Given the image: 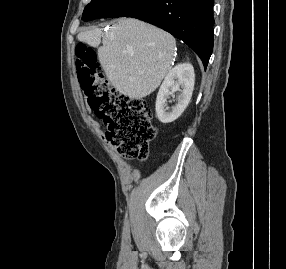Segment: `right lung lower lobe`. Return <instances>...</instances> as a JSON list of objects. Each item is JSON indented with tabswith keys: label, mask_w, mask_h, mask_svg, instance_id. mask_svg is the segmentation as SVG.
<instances>
[{
	"label": "right lung lower lobe",
	"mask_w": 286,
	"mask_h": 269,
	"mask_svg": "<svg viewBox=\"0 0 286 269\" xmlns=\"http://www.w3.org/2000/svg\"><path fill=\"white\" fill-rule=\"evenodd\" d=\"M127 17L156 25L182 40L206 69L213 50V0H151Z\"/></svg>",
	"instance_id": "1"
}]
</instances>
